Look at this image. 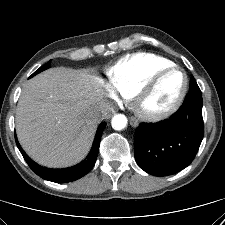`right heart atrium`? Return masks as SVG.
<instances>
[{
	"label": "right heart atrium",
	"instance_id": "d8ad5b80",
	"mask_svg": "<svg viewBox=\"0 0 225 225\" xmlns=\"http://www.w3.org/2000/svg\"><path fill=\"white\" fill-rule=\"evenodd\" d=\"M102 86L104 87L105 91L108 93L109 96L116 98L117 93L113 89V87L110 84L102 83Z\"/></svg>",
	"mask_w": 225,
	"mask_h": 225
}]
</instances>
